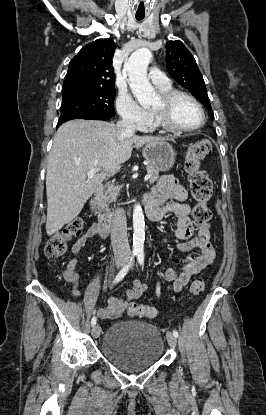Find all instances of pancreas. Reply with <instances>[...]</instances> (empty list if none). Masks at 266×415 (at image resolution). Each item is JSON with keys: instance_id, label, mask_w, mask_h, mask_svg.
<instances>
[{"instance_id": "1", "label": "pancreas", "mask_w": 266, "mask_h": 415, "mask_svg": "<svg viewBox=\"0 0 266 415\" xmlns=\"http://www.w3.org/2000/svg\"><path fill=\"white\" fill-rule=\"evenodd\" d=\"M146 169L147 173L151 175V177L149 178V183L154 184L156 181H158L159 171L150 164L146 166ZM120 190L121 186L109 185L106 188L105 193L101 196V204L99 206V209L101 211L110 213L109 204L112 202H116L117 197L120 195Z\"/></svg>"}]
</instances>
